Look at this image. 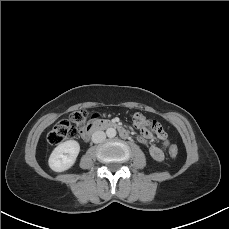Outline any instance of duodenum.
I'll use <instances>...</instances> for the list:
<instances>
[{"mask_svg":"<svg viewBox=\"0 0 229 229\" xmlns=\"http://www.w3.org/2000/svg\"><path fill=\"white\" fill-rule=\"evenodd\" d=\"M105 128L117 129L123 138L129 137V134H128L127 130L125 129V127L119 125L116 122L107 121V120H95V121L91 122L88 125V127L86 128L84 136H85V138H89L94 132L101 130V129H105Z\"/></svg>","mask_w":229,"mask_h":229,"instance_id":"410a0bca","label":"duodenum"}]
</instances>
